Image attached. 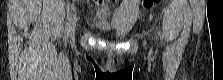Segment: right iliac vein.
Masks as SVG:
<instances>
[{"instance_id": "63e3f726", "label": "right iliac vein", "mask_w": 223, "mask_h": 80, "mask_svg": "<svg viewBox=\"0 0 223 80\" xmlns=\"http://www.w3.org/2000/svg\"><path fill=\"white\" fill-rule=\"evenodd\" d=\"M75 27H76V17L74 18V20L72 21V24H71V27H70V36L73 35L74 33V30H75Z\"/></svg>"}]
</instances>
